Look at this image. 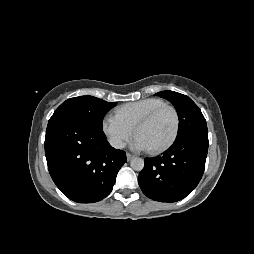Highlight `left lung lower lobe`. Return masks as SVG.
<instances>
[{
  "instance_id": "1",
  "label": "left lung lower lobe",
  "mask_w": 254,
  "mask_h": 254,
  "mask_svg": "<svg viewBox=\"0 0 254 254\" xmlns=\"http://www.w3.org/2000/svg\"><path fill=\"white\" fill-rule=\"evenodd\" d=\"M208 134H192L175 140L162 155L145 158L138 183L155 201L176 202L198 185L205 168Z\"/></svg>"
}]
</instances>
